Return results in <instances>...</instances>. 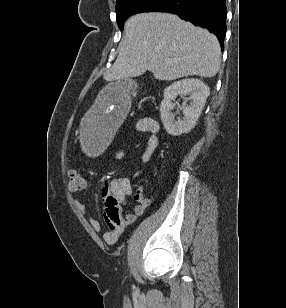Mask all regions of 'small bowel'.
<instances>
[{
  "instance_id": "c3829d8e",
  "label": "small bowel",
  "mask_w": 286,
  "mask_h": 308,
  "mask_svg": "<svg viewBox=\"0 0 286 308\" xmlns=\"http://www.w3.org/2000/svg\"><path fill=\"white\" fill-rule=\"evenodd\" d=\"M136 130L150 135L146 149L141 155V162L147 163L159 144V124L151 117H143L137 121ZM114 156L117 159L122 158L124 150L122 148L117 149ZM130 193V184L123 177L106 180L101 185L100 196L104 203V217L108 227L103 232V239L107 244L116 243L123 230L145 212L149 199L145 195L144 188L139 186L135 192V200L138 204L135 206L134 212L122 215V207ZM75 203L81 212H86V206L81 201L76 200ZM88 221L93 229L101 231L102 227L98 220L88 217Z\"/></svg>"
}]
</instances>
